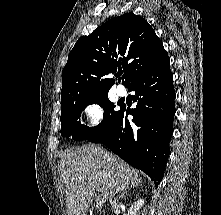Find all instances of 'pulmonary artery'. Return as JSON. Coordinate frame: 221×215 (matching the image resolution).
<instances>
[{"mask_svg":"<svg viewBox=\"0 0 221 215\" xmlns=\"http://www.w3.org/2000/svg\"><path fill=\"white\" fill-rule=\"evenodd\" d=\"M116 93L119 95V96H124L126 94V89L124 86L122 85H118L116 87Z\"/></svg>","mask_w":221,"mask_h":215,"instance_id":"e3ab8cb5","label":"pulmonary artery"}]
</instances>
